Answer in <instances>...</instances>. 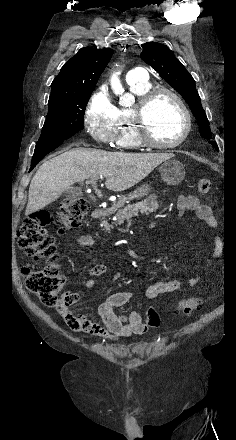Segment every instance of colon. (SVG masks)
<instances>
[{
	"label": "colon",
	"instance_id": "5ec220e1",
	"mask_svg": "<svg viewBox=\"0 0 236 440\" xmlns=\"http://www.w3.org/2000/svg\"><path fill=\"white\" fill-rule=\"evenodd\" d=\"M212 183L208 178H200L198 190L202 194L210 192ZM90 207L89 200L84 197L68 198L62 201L58 211L52 214L47 211H40L26 218L19 228L18 243L24 252L34 261H44L45 266L34 268L25 266L22 273L25 278L27 289L38 296L45 305L55 308L65 319L69 321H87L82 318H75L69 313L70 302L62 292L66 277L61 272L57 262V245L54 237L48 233L47 227L54 222L62 225L60 232L74 229L82 223ZM203 300L198 297H191L182 300L177 312L183 315H191L199 310ZM161 318L159 313L149 308L145 312V325L147 327H159Z\"/></svg>",
	"mask_w": 236,
	"mask_h": 440
}]
</instances>
